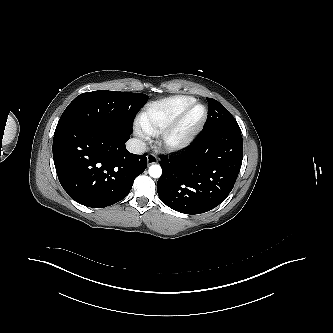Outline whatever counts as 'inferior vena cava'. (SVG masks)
<instances>
[{"label": "inferior vena cava", "mask_w": 333, "mask_h": 333, "mask_svg": "<svg viewBox=\"0 0 333 333\" xmlns=\"http://www.w3.org/2000/svg\"><path fill=\"white\" fill-rule=\"evenodd\" d=\"M126 148L133 154H143L145 152L146 146L143 141L132 138L127 141Z\"/></svg>", "instance_id": "inferior-vena-cava-1"}]
</instances>
